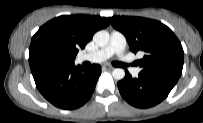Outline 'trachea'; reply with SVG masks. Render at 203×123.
I'll return each mask as SVG.
<instances>
[{
  "instance_id": "3493384b",
  "label": "trachea",
  "mask_w": 203,
  "mask_h": 123,
  "mask_svg": "<svg viewBox=\"0 0 203 123\" xmlns=\"http://www.w3.org/2000/svg\"><path fill=\"white\" fill-rule=\"evenodd\" d=\"M113 65L117 66V67H122V68L126 67V65L124 63H120V62H114Z\"/></svg>"
}]
</instances>
